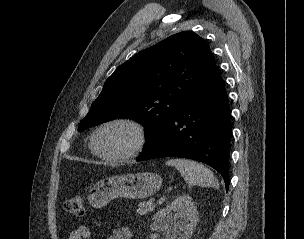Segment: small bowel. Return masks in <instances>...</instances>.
I'll return each instance as SVG.
<instances>
[{
    "label": "small bowel",
    "instance_id": "1",
    "mask_svg": "<svg viewBox=\"0 0 304 239\" xmlns=\"http://www.w3.org/2000/svg\"><path fill=\"white\" fill-rule=\"evenodd\" d=\"M91 237L90 229L87 226H79L73 230L68 239H89ZM132 232L128 228L115 230L107 239H131Z\"/></svg>",
    "mask_w": 304,
    "mask_h": 239
}]
</instances>
